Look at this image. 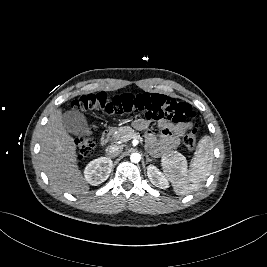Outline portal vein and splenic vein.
<instances>
[{
    "mask_svg": "<svg viewBox=\"0 0 267 267\" xmlns=\"http://www.w3.org/2000/svg\"><path fill=\"white\" fill-rule=\"evenodd\" d=\"M130 139H139L138 137L136 136H133V135H125L123 138H122V141L123 142H127L128 140Z\"/></svg>",
    "mask_w": 267,
    "mask_h": 267,
    "instance_id": "1",
    "label": "portal vein and splenic vein"
}]
</instances>
